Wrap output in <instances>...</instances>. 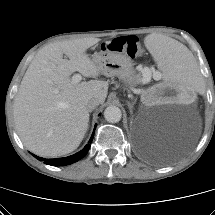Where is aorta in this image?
Wrapping results in <instances>:
<instances>
[{
  "label": "aorta",
  "instance_id": "obj_1",
  "mask_svg": "<svg viewBox=\"0 0 215 215\" xmlns=\"http://www.w3.org/2000/svg\"><path fill=\"white\" fill-rule=\"evenodd\" d=\"M104 117L109 123H117L121 120L122 112L116 106H108L104 111Z\"/></svg>",
  "mask_w": 215,
  "mask_h": 215
}]
</instances>
